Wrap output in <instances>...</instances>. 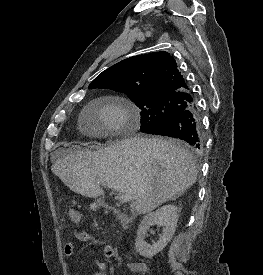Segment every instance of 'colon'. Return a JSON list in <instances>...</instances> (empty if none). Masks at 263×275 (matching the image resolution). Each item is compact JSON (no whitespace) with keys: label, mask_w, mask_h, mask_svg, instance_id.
<instances>
[{"label":"colon","mask_w":263,"mask_h":275,"mask_svg":"<svg viewBox=\"0 0 263 275\" xmlns=\"http://www.w3.org/2000/svg\"><path fill=\"white\" fill-rule=\"evenodd\" d=\"M67 215L69 220L73 223H78L81 219V213L74 208H69L67 210Z\"/></svg>","instance_id":"5ec220e1"}]
</instances>
